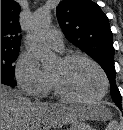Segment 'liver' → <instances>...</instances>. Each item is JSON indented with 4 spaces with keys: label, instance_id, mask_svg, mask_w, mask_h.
<instances>
[{
    "label": "liver",
    "instance_id": "liver-1",
    "mask_svg": "<svg viewBox=\"0 0 123 130\" xmlns=\"http://www.w3.org/2000/svg\"><path fill=\"white\" fill-rule=\"evenodd\" d=\"M98 112L97 107L32 102L21 92L1 84V130H39L40 124L56 129L77 121L94 120Z\"/></svg>",
    "mask_w": 123,
    "mask_h": 130
}]
</instances>
